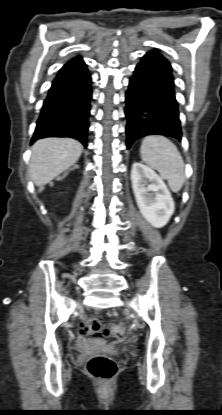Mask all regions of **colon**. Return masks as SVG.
I'll return each mask as SVG.
<instances>
[{"instance_id": "obj_1", "label": "colon", "mask_w": 222, "mask_h": 415, "mask_svg": "<svg viewBox=\"0 0 222 415\" xmlns=\"http://www.w3.org/2000/svg\"><path fill=\"white\" fill-rule=\"evenodd\" d=\"M80 333L82 335L100 338L107 336L109 330L98 318H88L80 324ZM116 338L122 339L126 336L123 328L115 327ZM86 371L93 378L100 381H110L117 373V364L113 357L108 355L91 356L86 362Z\"/></svg>"}]
</instances>
